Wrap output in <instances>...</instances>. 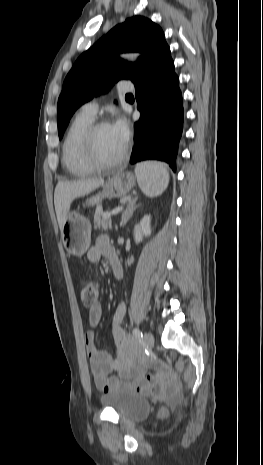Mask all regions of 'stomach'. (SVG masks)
Segmentation results:
<instances>
[{"label":"stomach","instance_id":"stomach-1","mask_svg":"<svg viewBox=\"0 0 263 465\" xmlns=\"http://www.w3.org/2000/svg\"><path fill=\"white\" fill-rule=\"evenodd\" d=\"M135 185V177L129 172L114 174L103 186L102 192L86 200L89 206L98 205L103 198L125 196ZM62 242L71 255L81 257L88 250L91 242L90 221L76 211L68 213L62 230Z\"/></svg>","mask_w":263,"mask_h":465}]
</instances>
